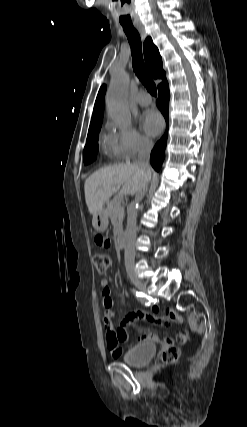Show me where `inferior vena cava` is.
I'll return each mask as SVG.
<instances>
[{
	"instance_id": "inferior-vena-cava-1",
	"label": "inferior vena cava",
	"mask_w": 247,
	"mask_h": 427,
	"mask_svg": "<svg viewBox=\"0 0 247 427\" xmlns=\"http://www.w3.org/2000/svg\"><path fill=\"white\" fill-rule=\"evenodd\" d=\"M153 148V143L148 139H143L140 141V146L138 150V159L136 165L140 167L146 174V178L136 193L135 200L129 207L128 218H127V227H126V245H125V267L128 273L134 271L135 265V248L134 242L136 238V222H137V204L142 200L144 195L148 190V184L151 180V167L149 164L150 153Z\"/></svg>"
}]
</instances>
